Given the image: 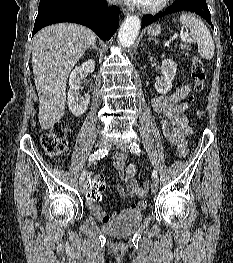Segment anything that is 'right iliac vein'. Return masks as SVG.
<instances>
[{
    "label": "right iliac vein",
    "mask_w": 233,
    "mask_h": 263,
    "mask_svg": "<svg viewBox=\"0 0 233 263\" xmlns=\"http://www.w3.org/2000/svg\"><path fill=\"white\" fill-rule=\"evenodd\" d=\"M111 145V143H110V141L108 140V139H101L100 141H99V147L100 148H108L109 146ZM79 189H80V191L81 192H84L85 191V189H86V184H85V182L84 181H81L80 180V182H79Z\"/></svg>",
    "instance_id": "1"
}]
</instances>
